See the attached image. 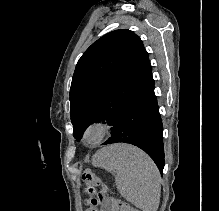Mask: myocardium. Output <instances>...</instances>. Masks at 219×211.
<instances>
[{"label":"myocardium","mask_w":219,"mask_h":211,"mask_svg":"<svg viewBox=\"0 0 219 211\" xmlns=\"http://www.w3.org/2000/svg\"><path fill=\"white\" fill-rule=\"evenodd\" d=\"M108 131L106 124L102 122H92L84 130L83 142L87 145H97L99 144Z\"/></svg>","instance_id":"f54148a6"}]
</instances>
